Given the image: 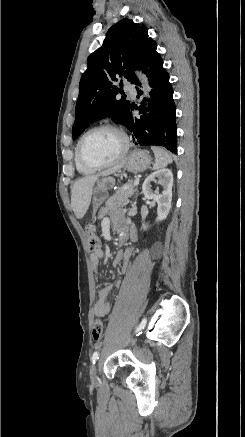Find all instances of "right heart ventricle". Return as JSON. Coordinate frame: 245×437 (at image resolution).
<instances>
[{
	"label": "right heart ventricle",
	"instance_id": "e07e8e85",
	"mask_svg": "<svg viewBox=\"0 0 245 437\" xmlns=\"http://www.w3.org/2000/svg\"><path fill=\"white\" fill-rule=\"evenodd\" d=\"M74 162H75V167H76L77 171L82 175H90L96 171V169L84 165L80 161L76 151H75V156H74Z\"/></svg>",
	"mask_w": 245,
	"mask_h": 437
}]
</instances>
